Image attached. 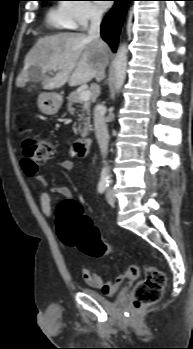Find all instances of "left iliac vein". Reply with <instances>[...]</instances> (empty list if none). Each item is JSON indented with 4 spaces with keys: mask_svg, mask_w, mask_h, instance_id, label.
I'll use <instances>...</instances> for the list:
<instances>
[{
    "mask_svg": "<svg viewBox=\"0 0 193 349\" xmlns=\"http://www.w3.org/2000/svg\"><path fill=\"white\" fill-rule=\"evenodd\" d=\"M106 198H107V201H108L109 204H114L115 203V200H116L115 199V195H114V192L111 189H109L107 191Z\"/></svg>",
    "mask_w": 193,
    "mask_h": 349,
    "instance_id": "left-iliac-vein-1",
    "label": "left iliac vein"
}]
</instances>
